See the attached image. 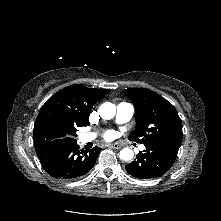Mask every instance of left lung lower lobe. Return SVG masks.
Returning <instances> with one entry per match:
<instances>
[{"label":"left lung lower lobe","instance_id":"left-lung-lower-lobe-1","mask_svg":"<svg viewBox=\"0 0 221 221\" xmlns=\"http://www.w3.org/2000/svg\"><path fill=\"white\" fill-rule=\"evenodd\" d=\"M145 147L146 150L139 152L136 159L125 166L130 175L140 179H151L165 174L174 163L179 149L165 143H153Z\"/></svg>","mask_w":221,"mask_h":221}]
</instances>
